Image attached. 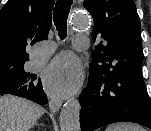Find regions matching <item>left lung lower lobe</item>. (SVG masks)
I'll return each instance as SVG.
<instances>
[{
	"label": "left lung lower lobe",
	"mask_w": 151,
	"mask_h": 131,
	"mask_svg": "<svg viewBox=\"0 0 151 131\" xmlns=\"http://www.w3.org/2000/svg\"><path fill=\"white\" fill-rule=\"evenodd\" d=\"M142 67L109 79L89 77L80 95L81 131H93L115 122H134L151 129V101Z\"/></svg>",
	"instance_id": "1"
}]
</instances>
